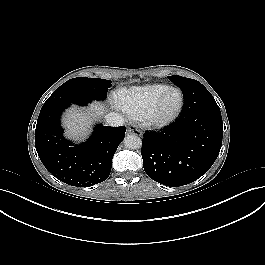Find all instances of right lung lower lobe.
<instances>
[{"instance_id": "1", "label": "right lung lower lobe", "mask_w": 265, "mask_h": 265, "mask_svg": "<svg viewBox=\"0 0 265 265\" xmlns=\"http://www.w3.org/2000/svg\"><path fill=\"white\" fill-rule=\"evenodd\" d=\"M70 104L58 103L41 108L35 129V146L46 169L60 181L76 187H88L106 180L112 158L122 142L126 127L102 124L80 145L66 140L60 116Z\"/></svg>"}]
</instances>
